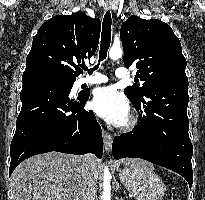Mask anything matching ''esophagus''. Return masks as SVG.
<instances>
[{"mask_svg": "<svg viewBox=\"0 0 205 200\" xmlns=\"http://www.w3.org/2000/svg\"><path fill=\"white\" fill-rule=\"evenodd\" d=\"M102 137H103L104 149L106 152H109L111 149V145H112V135L108 133L107 131L103 130Z\"/></svg>", "mask_w": 205, "mask_h": 200, "instance_id": "esophagus-1", "label": "esophagus"}]
</instances>
